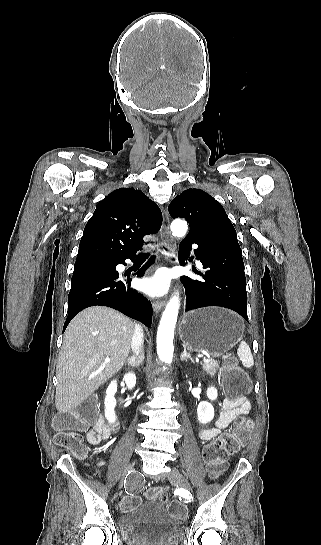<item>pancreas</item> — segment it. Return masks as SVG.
Instances as JSON below:
<instances>
[{
  "instance_id": "1",
  "label": "pancreas",
  "mask_w": 321,
  "mask_h": 545,
  "mask_svg": "<svg viewBox=\"0 0 321 545\" xmlns=\"http://www.w3.org/2000/svg\"><path fill=\"white\" fill-rule=\"evenodd\" d=\"M203 371L205 373H208L210 377H215V373H217L219 369V361H213V359H207L205 363H202Z\"/></svg>"
}]
</instances>
